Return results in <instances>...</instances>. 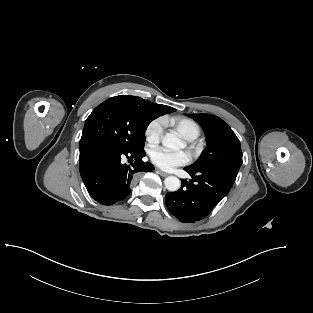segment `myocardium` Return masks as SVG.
Instances as JSON below:
<instances>
[{"instance_id":"1","label":"myocardium","mask_w":313,"mask_h":313,"mask_svg":"<svg viewBox=\"0 0 313 313\" xmlns=\"http://www.w3.org/2000/svg\"><path fill=\"white\" fill-rule=\"evenodd\" d=\"M188 147L194 156L198 155L202 150V145L194 140L188 141Z\"/></svg>"}]
</instances>
